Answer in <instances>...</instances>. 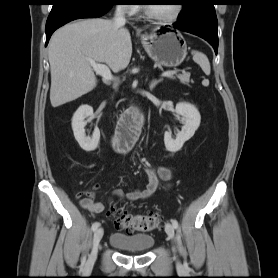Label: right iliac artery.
Returning <instances> with one entry per match:
<instances>
[{"instance_id":"1","label":"right iliac artery","mask_w":278,"mask_h":278,"mask_svg":"<svg viewBox=\"0 0 278 278\" xmlns=\"http://www.w3.org/2000/svg\"><path fill=\"white\" fill-rule=\"evenodd\" d=\"M99 222H94L93 224H92V231H95V230H97V228L99 227Z\"/></svg>"}]
</instances>
